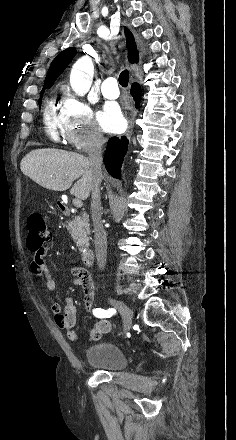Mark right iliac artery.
<instances>
[{
	"mask_svg": "<svg viewBox=\"0 0 236 440\" xmlns=\"http://www.w3.org/2000/svg\"><path fill=\"white\" fill-rule=\"evenodd\" d=\"M115 313L114 309L104 310L101 308L93 309V315L97 318H110Z\"/></svg>",
	"mask_w": 236,
	"mask_h": 440,
	"instance_id": "82829eb1",
	"label": "right iliac artery"
}]
</instances>
